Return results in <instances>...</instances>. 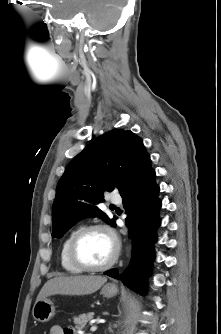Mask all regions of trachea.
I'll use <instances>...</instances> for the list:
<instances>
[{
	"mask_svg": "<svg viewBox=\"0 0 221 334\" xmlns=\"http://www.w3.org/2000/svg\"><path fill=\"white\" fill-rule=\"evenodd\" d=\"M111 208H114L115 206L114 205H110Z\"/></svg>",
	"mask_w": 221,
	"mask_h": 334,
	"instance_id": "1",
	"label": "trachea"
}]
</instances>
